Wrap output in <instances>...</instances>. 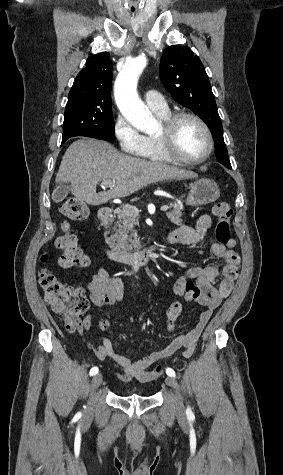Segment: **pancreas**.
Wrapping results in <instances>:
<instances>
[{"mask_svg":"<svg viewBox=\"0 0 283 475\" xmlns=\"http://www.w3.org/2000/svg\"><path fill=\"white\" fill-rule=\"evenodd\" d=\"M134 208L135 206H125L122 212L118 214L117 222H114L112 230L115 234H112L110 238H107L109 232L105 234L106 243L115 253H130L131 249L140 247L137 232L134 230L138 224L135 220L138 214H135ZM169 208H172V210L166 212L168 220L176 224V226H184L180 206L178 204H169Z\"/></svg>","mask_w":283,"mask_h":475,"instance_id":"pancreas-1","label":"pancreas"}]
</instances>
